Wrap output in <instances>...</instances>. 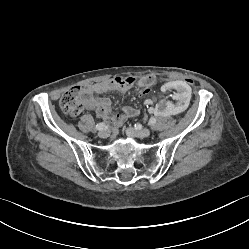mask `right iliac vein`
I'll use <instances>...</instances> for the list:
<instances>
[{"mask_svg": "<svg viewBox=\"0 0 249 249\" xmlns=\"http://www.w3.org/2000/svg\"><path fill=\"white\" fill-rule=\"evenodd\" d=\"M109 135V132L106 129H102L98 132V136L100 138H107Z\"/></svg>", "mask_w": 249, "mask_h": 249, "instance_id": "1", "label": "right iliac vein"}]
</instances>
